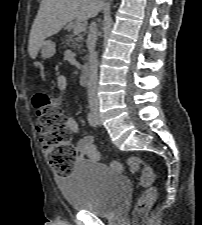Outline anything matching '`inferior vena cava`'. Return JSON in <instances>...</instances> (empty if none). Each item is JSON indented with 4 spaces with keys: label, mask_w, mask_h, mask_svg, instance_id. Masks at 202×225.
Instances as JSON below:
<instances>
[{
    "label": "inferior vena cava",
    "mask_w": 202,
    "mask_h": 225,
    "mask_svg": "<svg viewBox=\"0 0 202 225\" xmlns=\"http://www.w3.org/2000/svg\"><path fill=\"white\" fill-rule=\"evenodd\" d=\"M96 33H97L96 23L92 22L90 25V33L87 41V46L89 50L88 101L91 108L98 107V98H97L98 59L95 52Z\"/></svg>",
    "instance_id": "obj_1"
}]
</instances>
